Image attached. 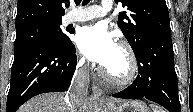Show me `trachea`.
<instances>
[{"mask_svg":"<svg viewBox=\"0 0 193 112\" xmlns=\"http://www.w3.org/2000/svg\"><path fill=\"white\" fill-rule=\"evenodd\" d=\"M90 0H84L83 5H87Z\"/></svg>","mask_w":193,"mask_h":112,"instance_id":"1","label":"trachea"}]
</instances>
